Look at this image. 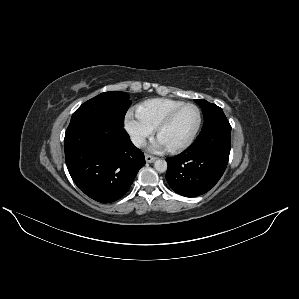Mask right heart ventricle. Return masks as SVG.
Returning <instances> with one entry per match:
<instances>
[{
	"label": "right heart ventricle",
	"instance_id": "right-heart-ventricle-1",
	"mask_svg": "<svg viewBox=\"0 0 299 299\" xmlns=\"http://www.w3.org/2000/svg\"><path fill=\"white\" fill-rule=\"evenodd\" d=\"M182 104L184 102L179 100L154 98L139 104L137 113L146 123L156 128L169 112Z\"/></svg>",
	"mask_w": 299,
	"mask_h": 299
}]
</instances>
